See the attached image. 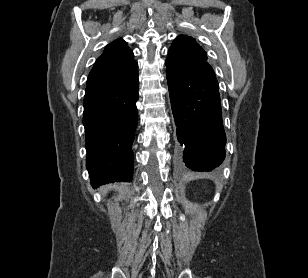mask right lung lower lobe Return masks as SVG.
<instances>
[{"label":"right lung lower lobe","instance_id":"right-lung-lower-lobe-1","mask_svg":"<svg viewBox=\"0 0 308 278\" xmlns=\"http://www.w3.org/2000/svg\"><path fill=\"white\" fill-rule=\"evenodd\" d=\"M137 100L138 73L120 87L85 92L86 167L94 187L132 179Z\"/></svg>","mask_w":308,"mask_h":278}]
</instances>
